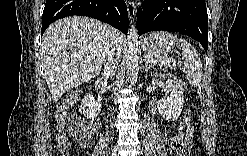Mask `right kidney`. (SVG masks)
Here are the masks:
<instances>
[{
    "instance_id": "obj_1",
    "label": "right kidney",
    "mask_w": 247,
    "mask_h": 156,
    "mask_svg": "<svg viewBox=\"0 0 247 156\" xmlns=\"http://www.w3.org/2000/svg\"><path fill=\"white\" fill-rule=\"evenodd\" d=\"M102 105L97 102L93 95L87 94L81 100L80 110L89 119L94 120L99 115Z\"/></svg>"
}]
</instances>
